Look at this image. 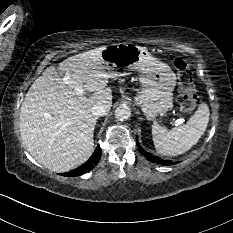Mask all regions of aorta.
I'll list each match as a JSON object with an SVG mask.
<instances>
[{
  "instance_id": "1",
  "label": "aorta",
  "mask_w": 233,
  "mask_h": 233,
  "mask_svg": "<svg viewBox=\"0 0 233 233\" xmlns=\"http://www.w3.org/2000/svg\"><path fill=\"white\" fill-rule=\"evenodd\" d=\"M131 116V109L126 105H121L115 110V117L119 121L128 119Z\"/></svg>"
}]
</instances>
